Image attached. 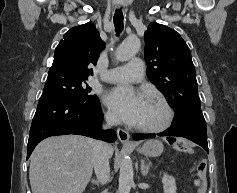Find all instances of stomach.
Wrapping results in <instances>:
<instances>
[{"instance_id":"stomach-1","label":"stomach","mask_w":237,"mask_h":193,"mask_svg":"<svg viewBox=\"0 0 237 193\" xmlns=\"http://www.w3.org/2000/svg\"><path fill=\"white\" fill-rule=\"evenodd\" d=\"M139 153L144 154L147 157H156L162 154L164 146L159 140H148L142 147L137 149Z\"/></svg>"}]
</instances>
